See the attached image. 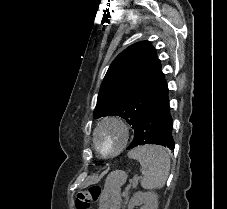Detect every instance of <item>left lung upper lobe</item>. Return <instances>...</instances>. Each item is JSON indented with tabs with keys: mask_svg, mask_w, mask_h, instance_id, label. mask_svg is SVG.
<instances>
[{
	"mask_svg": "<svg viewBox=\"0 0 227 209\" xmlns=\"http://www.w3.org/2000/svg\"><path fill=\"white\" fill-rule=\"evenodd\" d=\"M167 88L160 60L149 41L137 42L110 65L94 117L118 115L135 130L146 108Z\"/></svg>",
	"mask_w": 227,
	"mask_h": 209,
	"instance_id": "5c2ea615",
	"label": "left lung upper lobe"
}]
</instances>
